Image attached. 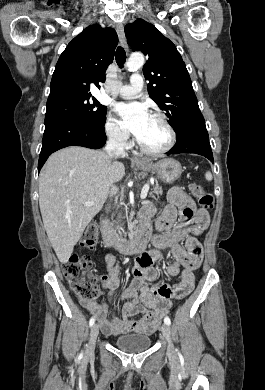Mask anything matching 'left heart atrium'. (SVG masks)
I'll return each instance as SVG.
<instances>
[{"mask_svg":"<svg viewBox=\"0 0 265 390\" xmlns=\"http://www.w3.org/2000/svg\"><path fill=\"white\" fill-rule=\"evenodd\" d=\"M116 111L121 117L124 128L138 138L150 117L146 107L137 102L120 103L116 106Z\"/></svg>","mask_w":265,"mask_h":390,"instance_id":"left-heart-atrium-1","label":"left heart atrium"}]
</instances>
